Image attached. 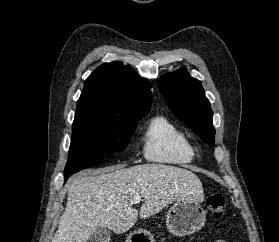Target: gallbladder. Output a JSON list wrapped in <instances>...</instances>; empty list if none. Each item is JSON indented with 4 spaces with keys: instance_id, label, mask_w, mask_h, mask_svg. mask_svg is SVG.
<instances>
[{
    "instance_id": "obj_1",
    "label": "gallbladder",
    "mask_w": 279,
    "mask_h": 242,
    "mask_svg": "<svg viewBox=\"0 0 279 242\" xmlns=\"http://www.w3.org/2000/svg\"><path fill=\"white\" fill-rule=\"evenodd\" d=\"M111 231L107 228L97 229L90 237V242H109Z\"/></svg>"
}]
</instances>
